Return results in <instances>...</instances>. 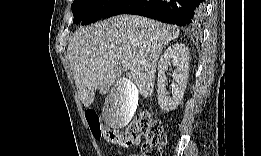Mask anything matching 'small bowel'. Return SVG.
Here are the masks:
<instances>
[{"label":"small bowel","instance_id":"small-bowel-1","mask_svg":"<svg viewBox=\"0 0 261 156\" xmlns=\"http://www.w3.org/2000/svg\"><path fill=\"white\" fill-rule=\"evenodd\" d=\"M96 119H99L98 115L96 114ZM120 153V152H119Z\"/></svg>","mask_w":261,"mask_h":156}]
</instances>
